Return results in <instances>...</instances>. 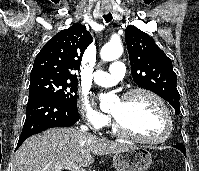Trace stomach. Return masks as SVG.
I'll list each match as a JSON object with an SVG mask.
<instances>
[{"label": "stomach", "mask_w": 199, "mask_h": 171, "mask_svg": "<svg viewBox=\"0 0 199 171\" xmlns=\"http://www.w3.org/2000/svg\"><path fill=\"white\" fill-rule=\"evenodd\" d=\"M151 163L150 152L138 146H131L113 156V166L116 171H148Z\"/></svg>", "instance_id": "1"}]
</instances>
